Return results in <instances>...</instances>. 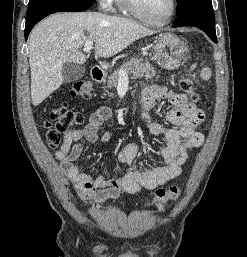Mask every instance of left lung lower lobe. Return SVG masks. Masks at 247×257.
Instances as JSON below:
<instances>
[{
	"label": "left lung lower lobe",
	"instance_id": "obj_1",
	"mask_svg": "<svg viewBox=\"0 0 247 257\" xmlns=\"http://www.w3.org/2000/svg\"><path fill=\"white\" fill-rule=\"evenodd\" d=\"M173 27L193 26L203 30L212 41L217 43L215 32V16L212 9L196 7L179 15Z\"/></svg>",
	"mask_w": 247,
	"mask_h": 257
}]
</instances>
